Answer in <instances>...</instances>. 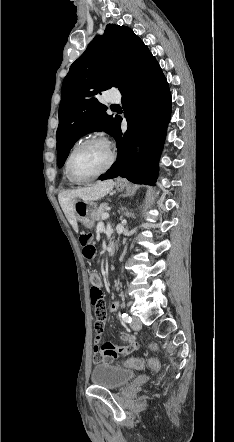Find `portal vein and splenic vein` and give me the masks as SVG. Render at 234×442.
Listing matches in <instances>:
<instances>
[{
    "mask_svg": "<svg viewBox=\"0 0 234 442\" xmlns=\"http://www.w3.org/2000/svg\"><path fill=\"white\" fill-rule=\"evenodd\" d=\"M107 218H109V213H104L103 215H102V219H107Z\"/></svg>",
    "mask_w": 234,
    "mask_h": 442,
    "instance_id": "portal-vein-and-splenic-vein-1",
    "label": "portal vein and splenic vein"
}]
</instances>
